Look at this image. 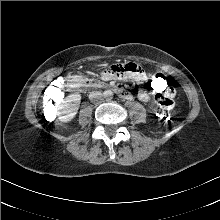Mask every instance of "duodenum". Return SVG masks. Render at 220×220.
<instances>
[{"label": "duodenum", "instance_id": "duodenum-1", "mask_svg": "<svg viewBox=\"0 0 220 220\" xmlns=\"http://www.w3.org/2000/svg\"><path fill=\"white\" fill-rule=\"evenodd\" d=\"M66 87L70 90V91H78V90H81L83 88L86 87V84L80 80H70L66 83ZM95 88H101L102 85L101 84H95L94 85ZM115 92L123 97V98H126L128 96V93L121 90V89H115Z\"/></svg>", "mask_w": 220, "mask_h": 220}]
</instances>
